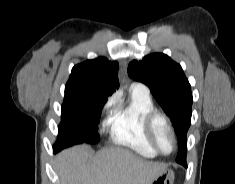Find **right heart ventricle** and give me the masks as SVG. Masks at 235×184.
<instances>
[{"label": "right heart ventricle", "instance_id": "1", "mask_svg": "<svg viewBox=\"0 0 235 184\" xmlns=\"http://www.w3.org/2000/svg\"><path fill=\"white\" fill-rule=\"evenodd\" d=\"M155 110L150 96H141L132 92V98L126 105L116 107L112 112L110 139L119 148L112 149L108 156L114 160H123L129 154L144 157H156L145 129L147 115Z\"/></svg>", "mask_w": 235, "mask_h": 184}]
</instances>
